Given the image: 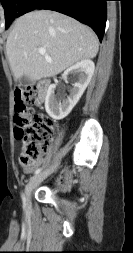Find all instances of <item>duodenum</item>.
<instances>
[{"label":"duodenum","mask_w":133,"mask_h":253,"mask_svg":"<svg viewBox=\"0 0 133 253\" xmlns=\"http://www.w3.org/2000/svg\"><path fill=\"white\" fill-rule=\"evenodd\" d=\"M49 81L48 80H41L37 87H38V91H39V96L41 99H44L48 93V89H49Z\"/></svg>","instance_id":"1"}]
</instances>
